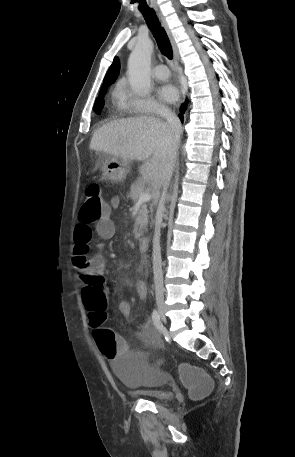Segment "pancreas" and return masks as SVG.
<instances>
[{
	"instance_id": "cf45deb5",
	"label": "pancreas",
	"mask_w": 295,
	"mask_h": 457,
	"mask_svg": "<svg viewBox=\"0 0 295 457\" xmlns=\"http://www.w3.org/2000/svg\"><path fill=\"white\" fill-rule=\"evenodd\" d=\"M145 192V187L143 183H135L131 186L130 192L128 193L127 197L130 198L132 201H138L140 195ZM148 224V209L147 204H143L138 212V215L135 219L134 224V235L136 239H139L142 235L144 230H147Z\"/></svg>"
}]
</instances>
